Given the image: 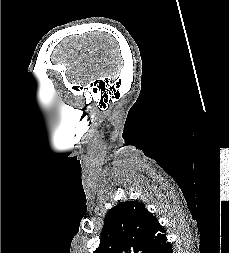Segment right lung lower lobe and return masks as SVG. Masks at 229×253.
<instances>
[{"mask_svg":"<svg viewBox=\"0 0 229 253\" xmlns=\"http://www.w3.org/2000/svg\"><path fill=\"white\" fill-rule=\"evenodd\" d=\"M154 253H172V245L166 240L156 249Z\"/></svg>","mask_w":229,"mask_h":253,"instance_id":"obj_1","label":"right lung lower lobe"}]
</instances>
